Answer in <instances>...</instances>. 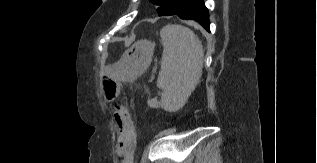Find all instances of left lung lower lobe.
I'll use <instances>...</instances> for the list:
<instances>
[{
	"label": "left lung lower lobe",
	"instance_id": "0a47b994",
	"mask_svg": "<svg viewBox=\"0 0 317 163\" xmlns=\"http://www.w3.org/2000/svg\"><path fill=\"white\" fill-rule=\"evenodd\" d=\"M172 15H177L186 20H195L201 24L206 31L210 32L208 10L204 5L203 0H184L177 11Z\"/></svg>",
	"mask_w": 317,
	"mask_h": 163
}]
</instances>
